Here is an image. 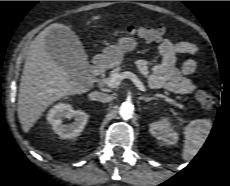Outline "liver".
<instances>
[{
	"label": "liver",
	"instance_id": "obj_1",
	"mask_svg": "<svg viewBox=\"0 0 230 186\" xmlns=\"http://www.w3.org/2000/svg\"><path fill=\"white\" fill-rule=\"evenodd\" d=\"M101 19L92 16L91 20ZM54 28L70 30L64 24L54 23L46 27L31 42L21 76L18 94V118L25 133L34 126L42 113L55 101L69 95H81L89 91L75 80L63 66L57 64L46 51V36Z\"/></svg>",
	"mask_w": 230,
	"mask_h": 186
}]
</instances>
